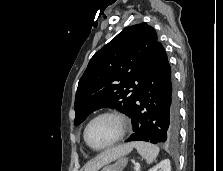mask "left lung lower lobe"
<instances>
[{"instance_id": "left-lung-lower-lobe-1", "label": "left lung lower lobe", "mask_w": 223, "mask_h": 171, "mask_svg": "<svg viewBox=\"0 0 223 171\" xmlns=\"http://www.w3.org/2000/svg\"><path fill=\"white\" fill-rule=\"evenodd\" d=\"M134 133L126 140L175 143L179 136V109L174 77L159 42L139 87L131 116Z\"/></svg>"}]
</instances>
